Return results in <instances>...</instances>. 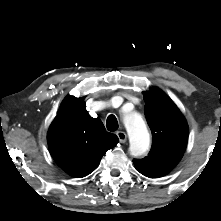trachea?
<instances>
[{
    "label": "trachea",
    "instance_id": "1",
    "mask_svg": "<svg viewBox=\"0 0 221 221\" xmlns=\"http://www.w3.org/2000/svg\"><path fill=\"white\" fill-rule=\"evenodd\" d=\"M108 131L114 132L118 129V121L114 115H109L106 121Z\"/></svg>",
    "mask_w": 221,
    "mask_h": 221
}]
</instances>
